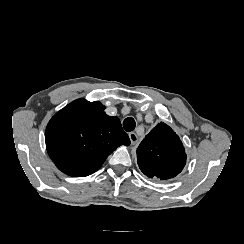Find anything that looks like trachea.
<instances>
[{"label":"trachea","mask_w":244,"mask_h":244,"mask_svg":"<svg viewBox=\"0 0 244 244\" xmlns=\"http://www.w3.org/2000/svg\"><path fill=\"white\" fill-rule=\"evenodd\" d=\"M135 126H136V122H135L134 118H132V117H127L123 121V127L128 132L133 131L135 129Z\"/></svg>","instance_id":"trachea-1"}]
</instances>
